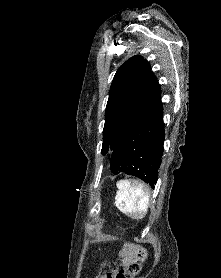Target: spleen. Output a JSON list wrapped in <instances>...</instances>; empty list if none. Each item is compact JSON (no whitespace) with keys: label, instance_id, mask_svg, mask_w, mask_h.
Listing matches in <instances>:
<instances>
[{"label":"spleen","instance_id":"3e777b00","mask_svg":"<svg viewBox=\"0 0 221 278\" xmlns=\"http://www.w3.org/2000/svg\"><path fill=\"white\" fill-rule=\"evenodd\" d=\"M117 188L114 204L119 211L134 219L145 217L149 205L145 186L137 181L120 180Z\"/></svg>","mask_w":221,"mask_h":278}]
</instances>
